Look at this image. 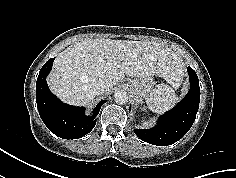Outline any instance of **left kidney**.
I'll list each match as a JSON object with an SVG mask.
<instances>
[{
	"label": "left kidney",
	"mask_w": 236,
	"mask_h": 178,
	"mask_svg": "<svg viewBox=\"0 0 236 178\" xmlns=\"http://www.w3.org/2000/svg\"><path fill=\"white\" fill-rule=\"evenodd\" d=\"M143 124H144V125H147V123H146V122H143Z\"/></svg>",
	"instance_id": "5707ae66"
}]
</instances>
